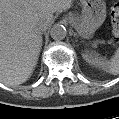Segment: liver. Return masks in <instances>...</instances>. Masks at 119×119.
<instances>
[{"label":"liver","instance_id":"obj_1","mask_svg":"<svg viewBox=\"0 0 119 119\" xmlns=\"http://www.w3.org/2000/svg\"><path fill=\"white\" fill-rule=\"evenodd\" d=\"M71 1L0 0V82L17 86L31 77L42 46L37 27L48 26Z\"/></svg>","mask_w":119,"mask_h":119}]
</instances>
